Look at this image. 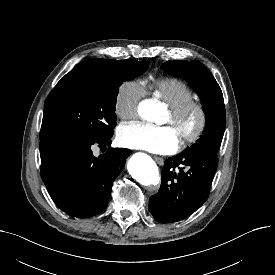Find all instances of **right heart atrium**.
<instances>
[{"mask_svg":"<svg viewBox=\"0 0 275 275\" xmlns=\"http://www.w3.org/2000/svg\"><path fill=\"white\" fill-rule=\"evenodd\" d=\"M145 94V87L139 81L128 80L123 82L115 94V114L122 120L134 118L137 115L139 103Z\"/></svg>","mask_w":275,"mask_h":275,"instance_id":"1","label":"right heart atrium"}]
</instances>
